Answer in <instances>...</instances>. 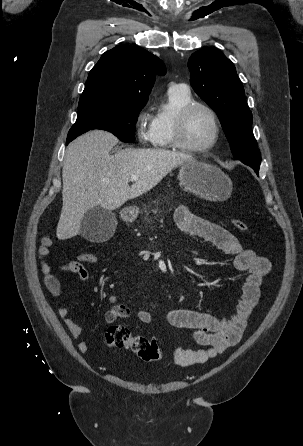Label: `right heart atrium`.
<instances>
[{
    "mask_svg": "<svg viewBox=\"0 0 303 446\" xmlns=\"http://www.w3.org/2000/svg\"><path fill=\"white\" fill-rule=\"evenodd\" d=\"M135 130L137 138L141 143L151 142L153 133L152 119L146 112L142 111L139 113L135 123Z\"/></svg>",
    "mask_w": 303,
    "mask_h": 446,
    "instance_id": "right-heart-atrium-1",
    "label": "right heart atrium"
}]
</instances>
